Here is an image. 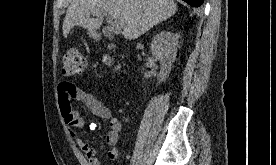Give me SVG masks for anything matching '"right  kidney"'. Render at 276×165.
<instances>
[{"label":"right kidney","mask_w":276,"mask_h":165,"mask_svg":"<svg viewBox=\"0 0 276 165\" xmlns=\"http://www.w3.org/2000/svg\"><path fill=\"white\" fill-rule=\"evenodd\" d=\"M178 38L176 33L162 31L154 37L151 43V52L161 65L159 83L165 82L172 69L177 54Z\"/></svg>","instance_id":"right-kidney-1"}]
</instances>
